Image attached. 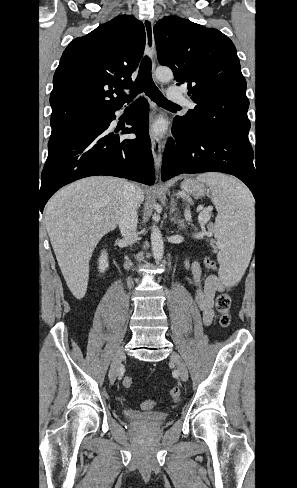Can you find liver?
I'll return each instance as SVG.
<instances>
[{
	"instance_id": "6515ba94",
	"label": "liver",
	"mask_w": 297,
	"mask_h": 488,
	"mask_svg": "<svg viewBox=\"0 0 297 488\" xmlns=\"http://www.w3.org/2000/svg\"><path fill=\"white\" fill-rule=\"evenodd\" d=\"M127 181L93 176L56 192L45 208L46 229L66 284L81 299L88 284L89 261L100 239L118 224ZM139 204L144 191L135 186Z\"/></svg>"
}]
</instances>
